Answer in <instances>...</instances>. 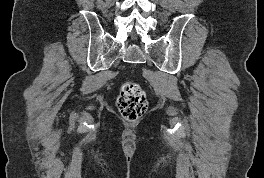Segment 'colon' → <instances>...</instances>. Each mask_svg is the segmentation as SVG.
Segmentation results:
<instances>
[{"instance_id":"1","label":"colon","mask_w":264,"mask_h":178,"mask_svg":"<svg viewBox=\"0 0 264 178\" xmlns=\"http://www.w3.org/2000/svg\"><path fill=\"white\" fill-rule=\"evenodd\" d=\"M147 99L140 85L134 81L123 84L117 98V108L129 121L139 119L147 110Z\"/></svg>"}]
</instances>
